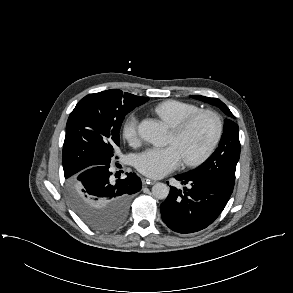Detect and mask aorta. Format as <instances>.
<instances>
[{"instance_id": "aorta-1", "label": "aorta", "mask_w": 293, "mask_h": 293, "mask_svg": "<svg viewBox=\"0 0 293 293\" xmlns=\"http://www.w3.org/2000/svg\"><path fill=\"white\" fill-rule=\"evenodd\" d=\"M138 133L144 140L154 145H162L167 136V128L161 121L144 119L138 126ZM168 194L169 187L164 183L159 182L152 187V195L156 199H166Z\"/></svg>"}]
</instances>
